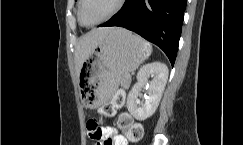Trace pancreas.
Returning <instances> with one entry per match:
<instances>
[{
    "label": "pancreas",
    "mask_w": 243,
    "mask_h": 145,
    "mask_svg": "<svg viewBox=\"0 0 243 145\" xmlns=\"http://www.w3.org/2000/svg\"><path fill=\"white\" fill-rule=\"evenodd\" d=\"M130 80H131V78H130V76L129 75H127V74H124L123 76H122V78H121V85L123 86V87H125V86H127L129 83H130Z\"/></svg>",
    "instance_id": "obj_1"
}]
</instances>
